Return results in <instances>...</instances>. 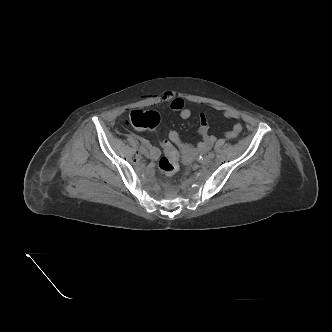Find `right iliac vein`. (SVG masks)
Masks as SVG:
<instances>
[{
    "label": "right iliac vein",
    "mask_w": 332,
    "mask_h": 332,
    "mask_svg": "<svg viewBox=\"0 0 332 332\" xmlns=\"http://www.w3.org/2000/svg\"><path fill=\"white\" fill-rule=\"evenodd\" d=\"M139 151L141 154H145L146 153V148L144 146H140Z\"/></svg>",
    "instance_id": "1"
}]
</instances>
